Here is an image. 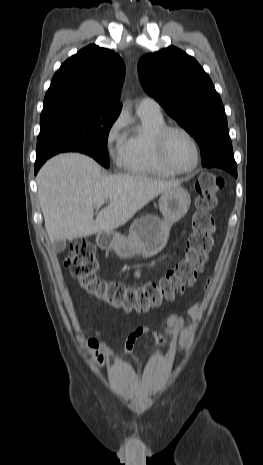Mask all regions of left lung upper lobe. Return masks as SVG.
Wrapping results in <instances>:
<instances>
[{"label": "left lung upper lobe", "mask_w": 263, "mask_h": 465, "mask_svg": "<svg viewBox=\"0 0 263 465\" xmlns=\"http://www.w3.org/2000/svg\"><path fill=\"white\" fill-rule=\"evenodd\" d=\"M138 74L146 93L196 139L203 161L235 162L222 100L193 57L168 47L142 56Z\"/></svg>", "instance_id": "left-lung-upper-lobe-1"}]
</instances>
